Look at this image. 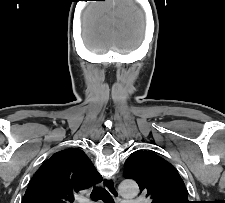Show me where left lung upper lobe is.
Returning a JSON list of instances; mask_svg holds the SVG:
<instances>
[{
  "label": "left lung upper lobe",
  "instance_id": "1",
  "mask_svg": "<svg viewBox=\"0 0 225 203\" xmlns=\"http://www.w3.org/2000/svg\"><path fill=\"white\" fill-rule=\"evenodd\" d=\"M123 176L135 180L151 203H191L177 170L153 152H133L125 162Z\"/></svg>",
  "mask_w": 225,
  "mask_h": 203
}]
</instances>
